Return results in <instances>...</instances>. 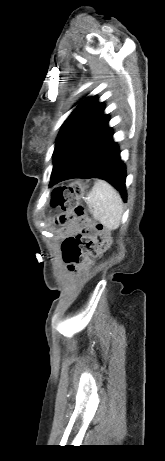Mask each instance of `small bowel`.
Wrapping results in <instances>:
<instances>
[{
    "instance_id": "small-bowel-1",
    "label": "small bowel",
    "mask_w": 165,
    "mask_h": 461,
    "mask_svg": "<svg viewBox=\"0 0 165 461\" xmlns=\"http://www.w3.org/2000/svg\"><path fill=\"white\" fill-rule=\"evenodd\" d=\"M93 233L89 225H80L78 222H72L69 229L54 233V240L61 242V261L69 272H76L79 266H85L87 250L84 247L91 242Z\"/></svg>"
}]
</instances>
